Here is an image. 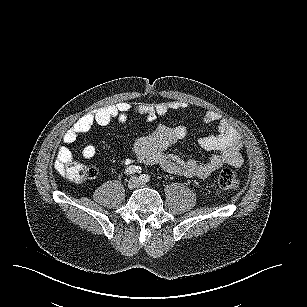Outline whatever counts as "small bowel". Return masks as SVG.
Masks as SVG:
<instances>
[{"label":"small bowel","instance_id":"1","mask_svg":"<svg viewBox=\"0 0 307 307\" xmlns=\"http://www.w3.org/2000/svg\"><path fill=\"white\" fill-rule=\"evenodd\" d=\"M187 106L186 102L178 100L139 103L136 106H132L128 102H121L91 111L79 118L65 133L63 145L58 149L57 164L73 160L74 155L70 146L75 143L79 135L91 130L94 125L105 126L114 119L124 123L131 112L145 116L152 121L171 110L182 109ZM202 120L207 124L217 123L216 134L199 139V145L202 149L214 152L208 160H184L167 154L166 150L171 145L187 137L188 130L183 125L174 128L159 125L152 133L136 142L133 154L124 159L123 164L132 166L135 163L142 162L158 165L169 173L200 179L210 176L224 164L234 168L241 167L243 163L241 156L243 142L236 128L214 111L204 113ZM82 153L85 158H93L96 154V148L93 145H86Z\"/></svg>","mask_w":307,"mask_h":307}]
</instances>
